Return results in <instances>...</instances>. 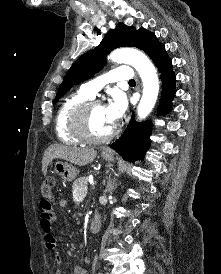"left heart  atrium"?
Returning <instances> with one entry per match:
<instances>
[{
	"mask_svg": "<svg viewBox=\"0 0 221 274\" xmlns=\"http://www.w3.org/2000/svg\"><path fill=\"white\" fill-rule=\"evenodd\" d=\"M126 102L123 97L115 96L114 99L106 106V115L111 125H115L124 115Z\"/></svg>",
	"mask_w": 221,
	"mask_h": 274,
	"instance_id": "1",
	"label": "left heart atrium"
}]
</instances>
